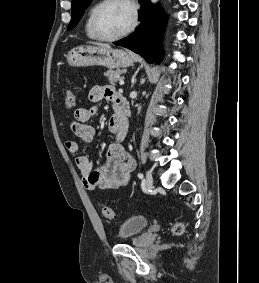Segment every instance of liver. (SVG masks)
<instances>
[{
	"instance_id": "6515ba94",
	"label": "liver",
	"mask_w": 259,
	"mask_h": 283,
	"mask_svg": "<svg viewBox=\"0 0 259 283\" xmlns=\"http://www.w3.org/2000/svg\"><path fill=\"white\" fill-rule=\"evenodd\" d=\"M97 45H98V46H101V47H110V46L107 45V44H101V43H98Z\"/></svg>"
}]
</instances>
